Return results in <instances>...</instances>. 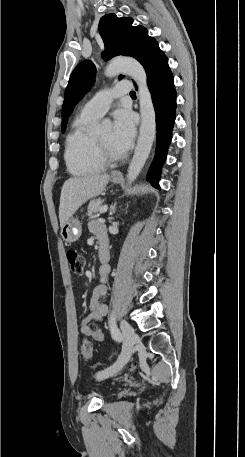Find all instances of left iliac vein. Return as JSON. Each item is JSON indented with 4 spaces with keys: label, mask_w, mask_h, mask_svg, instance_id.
Here are the masks:
<instances>
[{
    "label": "left iliac vein",
    "mask_w": 245,
    "mask_h": 457,
    "mask_svg": "<svg viewBox=\"0 0 245 457\" xmlns=\"http://www.w3.org/2000/svg\"><path fill=\"white\" fill-rule=\"evenodd\" d=\"M120 328L122 330L124 341L122 353L118 360L111 367L97 374L100 379H105L109 376L115 375L131 357L133 343L135 341V331L133 327L125 320L121 321Z\"/></svg>",
    "instance_id": "left-iliac-vein-1"
}]
</instances>
